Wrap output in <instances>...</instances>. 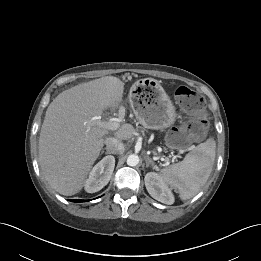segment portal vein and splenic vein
Segmentation results:
<instances>
[{
  "label": "portal vein and splenic vein",
  "instance_id": "obj_1",
  "mask_svg": "<svg viewBox=\"0 0 261 261\" xmlns=\"http://www.w3.org/2000/svg\"><path fill=\"white\" fill-rule=\"evenodd\" d=\"M123 118V114L119 113V117L118 118H111L108 121H101V117H93L91 120L92 121H96V124L100 127L103 128L105 130H111V131H115L118 130L120 128V123L122 121ZM167 163H168V158L166 159Z\"/></svg>",
  "mask_w": 261,
  "mask_h": 261
}]
</instances>
